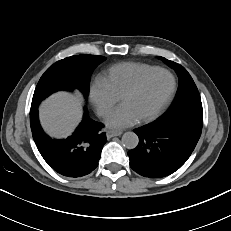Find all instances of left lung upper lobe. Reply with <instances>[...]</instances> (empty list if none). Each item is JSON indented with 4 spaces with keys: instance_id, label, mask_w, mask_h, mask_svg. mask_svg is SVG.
I'll return each mask as SVG.
<instances>
[{
    "instance_id": "1",
    "label": "left lung upper lobe",
    "mask_w": 231,
    "mask_h": 231,
    "mask_svg": "<svg viewBox=\"0 0 231 231\" xmlns=\"http://www.w3.org/2000/svg\"><path fill=\"white\" fill-rule=\"evenodd\" d=\"M173 68L179 77V89L171 109L157 121H176L180 119L203 122V109L198 89L184 67L164 57H159Z\"/></svg>"
}]
</instances>
